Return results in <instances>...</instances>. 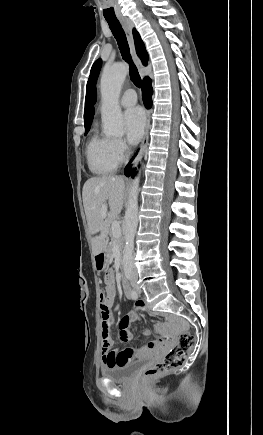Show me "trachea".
<instances>
[{
  "label": "trachea",
  "mask_w": 263,
  "mask_h": 435,
  "mask_svg": "<svg viewBox=\"0 0 263 435\" xmlns=\"http://www.w3.org/2000/svg\"><path fill=\"white\" fill-rule=\"evenodd\" d=\"M120 49L122 58L129 64V75L135 86L141 87L142 81L137 67L132 61L125 32L118 20H106Z\"/></svg>",
  "instance_id": "obj_1"
}]
</instances>
